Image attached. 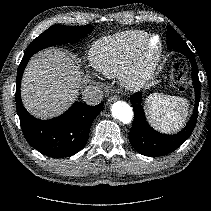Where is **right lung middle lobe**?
I'll return each instance as SVG.
<instances>
[{"label": "right lung middle lobe", "mask_w": 211, "mask_h": 211, "mask_svg": "<svg viewBox=\"0 0 211 211\" xmlns=\"http://www.w3.org/2000/svg\"><path fill=\"white\" fill-rule=\"evenodd\" d=\"M92 29L93 27L91 25L51 26L31 42L24 56L31 57L39 50L56 44L71 43L78 41L79 39L87 35L89 32H91Z\"/></svg>", "instance_id": "1"}]
</instances>
